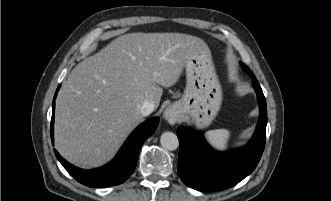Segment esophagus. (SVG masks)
I'll return each instance as SVG.
<instances>
[{"mask_svg": "<svg viewBox=\"0 0 331 201\" xmlns=\"http://www.w3.org/2000/svg\"><path fill=\"white\" fill-rule=\"evenodd\" d=\"M163 118L171 125H174L180 120V114L175 106H169L163 112Z\"/></svg>", "mask_w": 331, "mask_h": 201, "instance_id": "1", "label": "esophagus"}]
</instances>
